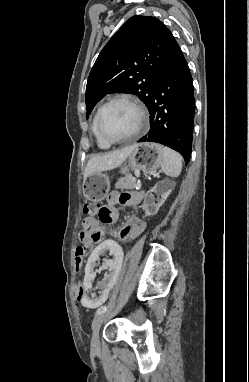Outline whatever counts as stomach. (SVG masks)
Listing matches in <instances>:
<instances>
[{
	"label": "stomach",
	"mask_w": 249,
	"mask_h": 382,
	"mask_svg": "<svg viewBox=\"0 0 249 382\" xmlns=\"http://www.w3.org/2000/svg\"><path fill=\"white\" fill-rule=\"evenodd\" d=\"M162 146L156 143H139L123 165L121 172L130 170L153 173L162 164ZM110 190V179L107 174L96 172L89 175L83 182V193L86 199L93 202L102 201Z\"/></svg>",
	"instance_id": "1"
}]
</instances>
